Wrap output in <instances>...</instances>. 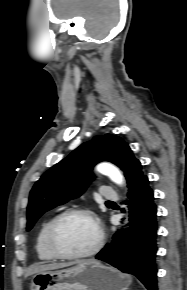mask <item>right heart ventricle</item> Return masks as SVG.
<instances>
[{"label":"right heart ventricle","instance_id":"1","mask_svg":"<svg viewBox=\"0 0 187 290\" xmlns=\"http://www.w3.org/2000/svg\"><path fill=\"white\" fill-rule=\"evenodd\" d=\"M52 220L53 218H50L41 226L38 232V235L36 238V244H35V249H36L38 258L42 261H47V262L54 261L57 259L48 249L47 242H46L47 230Z\"/></svg>","mask_w":187,"mask_h":290}]
</instances>
